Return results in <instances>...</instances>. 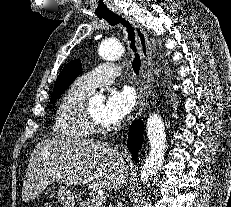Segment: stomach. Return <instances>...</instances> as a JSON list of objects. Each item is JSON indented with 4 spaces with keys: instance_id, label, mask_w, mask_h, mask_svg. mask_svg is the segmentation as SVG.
Masks as SVG:
<instances>
[{
    "instance_id": "1",
    "label": "stomach",
    "mask_w": 231,
    "mask_h": 207,
    "mask_svg": "<svg viewBox=\"0 0 231 207\" xmlns=\"http://www.w3.org/2000/svg\"><path fill=\"white\" fill-rule=\"evenodd\" d=\"M55 185H49L45 188L44 193L48 199H52L55 196ZM57 199L62 207H75L80 197L76 192L69 190L65 186H60L57 191Z\"/></svg>"
}]
</instances>
